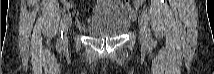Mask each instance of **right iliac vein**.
Segmentation results:
<instances>
[{
  "label": "right iliac vein",
  "instance_id": "obj_1",
  "mask_svg": "<svg viewBox=\"0 0 214 74\" xmlns=\"http://www.w3.org/2000/svg\"><path fill=\"white\" fill-rule=\"evenodd\" d=\"M70 26H71V19L68 18L63 27V32H64L63 42H66L67 40V34Z\"/></svg>",
  "mask_w": 214,
  "mask_h": 74
}]
</instances>
